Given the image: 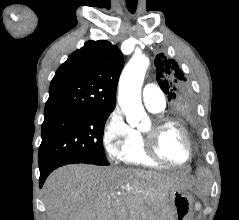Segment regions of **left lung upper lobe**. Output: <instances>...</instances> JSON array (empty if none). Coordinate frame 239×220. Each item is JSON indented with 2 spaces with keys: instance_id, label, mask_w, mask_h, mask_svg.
I'll return each instance as SVG.
<instances>
[{
  "instance_id": "obj_1",
  "label": "left lung upper lobe",
  "mask_w": 239,
  "mask_h": 220,
  "mask_svg": "<svg viewBox=\"0 0 239 220\" xmlns=\"http://www.w3.org/2000/svg\"><path fill=\"white\" fill-rule=\"evenodd\" d=\"M156 80L171 103V110L178 119L187 123L196 122V105L188 88L184 84L186 78L175 60L163 53L154 60Z\"/></svg>"
}]
</instances>
